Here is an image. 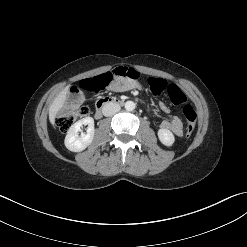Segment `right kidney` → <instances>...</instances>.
Masks as SVG:
<instances>
[{
  "mask_svg": "<svg viewBox=\"0 0 247 247\" xmlns=\"http://www.w3.org/2000/svg\"><path fill=\"white\" fill-rule=\"evenodd\" d=\"M87 125V132L82 133L81 136H79V131L81 130V127ZM94 119L92 117H86L83 118L76 123H74L68 130L67 135L65 137V146L68 150L72 152H81L88 145L91 144L93 138H94Z\"/></svg>",
  "mask_w": 247,
  "mask_h": 247,
  "instance_id": "ca27d5eb",
  "label": "right kidney"
}]
</instances>
